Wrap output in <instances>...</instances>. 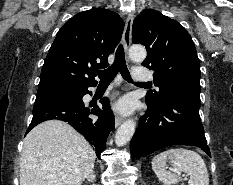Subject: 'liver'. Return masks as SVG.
<instances>
[{"mask_svg":"<svg viewBox=\"0 0 233 185\" xmlns=\"http://www.w3.org/2000/svg\"><path fill=\"white\" fill-rule=\"evenodd\" d=\"M95 151L69 124L48 120L25 137L20 185H81L93 172Z\"/></svg>","mask_w":233,"mask_h":185,"instance_id":"liver-1","label":"liver"}]
</instances>
